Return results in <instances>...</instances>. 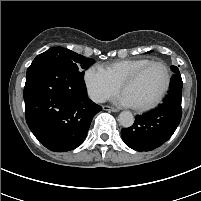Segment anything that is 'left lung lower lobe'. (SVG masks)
I'll return each mask as SVG.
<instances>
[{
    "instance_id": "1",
    "label": "left lung lower lobe",
    "mask_w": 201,
    "mask_h": 201,
    "mask_svg": "<svg viewBox=\"0 0 201 201\" xmlns=\"http://www.w3.org/2000/svg\"><path fill=\"white\" fill-rule=\"evenodd\" d=\"M169 94L156 109L137 115L134 124L123 128L124 142L136 151H152L165 143L175 132L182 116V78L174 67Z\"/></svg>"
}]
</instances>
